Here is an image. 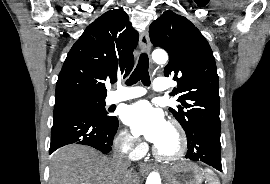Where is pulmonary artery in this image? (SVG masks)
<instances>
[{"mask_svg":"<svg viewBox=\"0 0 270 184\" xmlns=\"http://www.w3.org/2000/svg\"><path fill=\"white\" fill-rule=\"evenodd\" d=\"M169 88V83L166 78L159 77L153 82V90L156 92H165ZM146 93L145 89L142 87H128L120 88L117 91L109 95V103H118L134 98L143 96Z\"/></svg>","mask_w":270,"mask_h":184,"instance_id":"1","label":"pulmonary artery"}]
</instances>
